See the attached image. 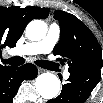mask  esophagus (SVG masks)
Wrapping results in <instances>:
<instances>
[{
  "instance_id": "obj_1",
  "label": "esophagus",
  "mask_w": 103,
  "mask_h": 103,
  "mask_svg": "<svg viewBox=\"0 0 103 103\" xmlns=\"http://www.w3.org/2000/svg\"><path fill=\"white\" fill-rule=\"evenodd\" d=\"M37 70H38V72L39 73H42L44 70L42 69V68H40V67H37Z\"/></svg>"
}]
</instances>
